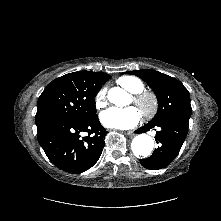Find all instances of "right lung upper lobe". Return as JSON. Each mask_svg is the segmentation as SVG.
Segmentation results:
<instances>
[{
	"instance_id": "cb5924a9",
	"label": "right lung upper lobe",
	"mask_w": 221,
	"mask_h": 221,
	"mask_svg": "<svg viewBox=\"0 0 221 221\" xmlns=\"http://www.w3.org/2000/svg\"><path fill=\"white\" fill-rule=\"evenodd\" d=\"M69 74L78 78L83 83L94 87L102 86L104 83H106L107 80L110 79V75L106 73L91 72V71H78Z\"/></svg>"
}]
</instances>
